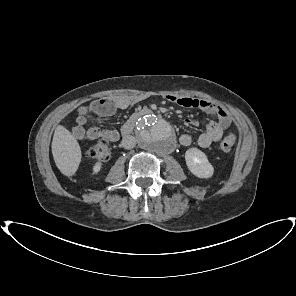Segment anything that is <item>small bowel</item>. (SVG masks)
<instances>
[{"mask_svg": "<svg viewBox=\"0 0 296 296\" xmlns=\"http://www.w3.org/2000/svg\"><path fill=\"white\" fill-rule=\"evenodd\" d=\"M166 100L177 104L183 108L199 109L207 114L214 116V120L206 123L205 131L202 132L197 138V145L201 148H208L212 143L217 142L231 124V117L229 113L221 106L214 104L205 99H197L192 97H179L175 95H167ZM138 99H131L126 97H113L98 99L89 104L87 107H81L78 112L77 123L72 127L71 132L75 138L79 140H95L104 138L111 142L119 140L121 132L116 129H101L99 127H92L89 129L84 128L86 122V114L88 111L95 113L98 116H110L117 110L128 108ZM198 122L194 119H187L186 125L194 126ZM192 136L188 133H182L179 136V143L188 147L192 144Z\"/></svg>", "mask_w": 296, "mask_h": 296, "instance_id": "obj_1", "label": "small bowel"}]
</instances>
